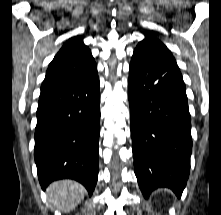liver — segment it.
<instances>
[{
	"mask_svg": "<svg viewBox=\"0 0 221 215\" xmlns=\"http://www.w3.org/2000/svg\"><path fill=\"white\" fill-rule=\"evenodd\" d=\"M85 188L73 180H60L47 188L49 203L56 209L67 213L76 208L84 199Z\"/></svg>",
	"mask_w": 221,
	"mask_h": 215,
	"instance_id": "1",
	"label": "liver"
}]
</instances>
